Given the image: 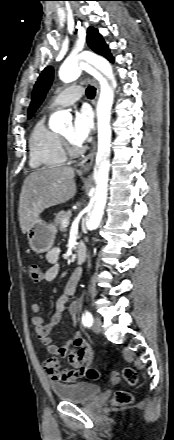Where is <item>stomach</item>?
Here are the masks:
<instances>
[{
  "mask_svg": "<svg viewBox=\"0 0 174 440\" xmlns=\"http://www.w3.org/2000/svg\"><path fill=\"white\" fill-rule=\"evenodd\" d=\"M57 230L56 227L37 219L27 231V240L31 249L40 254L47 252L53 246Z\"/></svg>",
  "mask_w": 174,
  "mask_h": 440,
  "instance_id": "0dacf381",
  "label": "stomach"
}]
</instances>
